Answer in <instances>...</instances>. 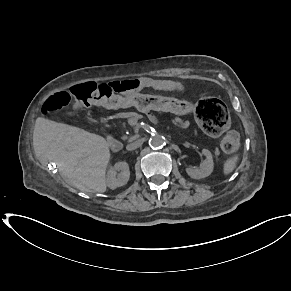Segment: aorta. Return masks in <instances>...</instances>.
Here are the masks:
<instances>
[{
	"label": "aorta",
	"instance_id": "762f6f07",
	"mask_svg": "<svg viewBox=\"0 0 291 291\" xmlns=\"http://www.w3.org/2000/svg\"><path fill=\"white\" fill-rule=\"evenodd\" d=\"M165 144V138L159 134L153 135L149 139V145L153 149H160L164 146Z\"/></svg>",
	"mask_w": 291,
	"mask_h": 291
}]
</instances>
